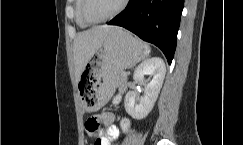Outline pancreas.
<instances>
[{
  "label": "pancreas",
  "instance_id": "pancreas-1",
  "mask_svg": "<svg viewBox=\"0 0 243 145\" xmlns=\"http://www.w3.org/2000/svg\"><path fill=\"white\" fill-rule=\"evenodd\" d=\"M126 82H127V77L123 73H120L119 76H118L119 87L124 89Z\"/></svg>",
  "mask_w": 243,
  "mask_h": 145
}]
</instances>
